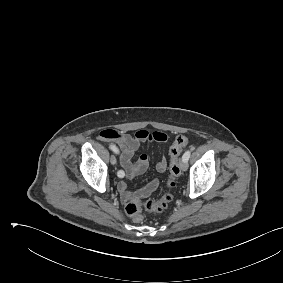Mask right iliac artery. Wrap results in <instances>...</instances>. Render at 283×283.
I'll return each mask as SVG.
<instances>
[{
	"label": "right iliac artery",
	"instance_id": "1",
	"mask_svg": "<svg viewBox=\"0 0 283 283\" xmlns=\"http://www.w3.org/2000/svg\"><path fill=\"white\" fill-rule=\"evenodd\" d=\"M109 148L114 152V153H118V148L114 145V144H110ZM120 173H122L121 171H118L117 175L118 177H120Z\"/></svg>",
	"mask_w": 283,
	"mask_h": 283
}]
</instances>
